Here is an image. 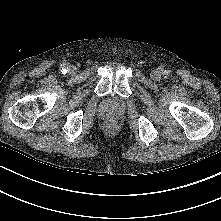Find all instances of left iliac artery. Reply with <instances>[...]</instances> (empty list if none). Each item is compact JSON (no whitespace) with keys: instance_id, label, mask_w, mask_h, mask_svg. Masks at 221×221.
<instances>
[{"instance_id":"left-iliac-artery-1","label":"left iliac artery","mask_w":221,"mask_h":221,"mask_svg":"<svg viewBox=\"0 0 221 221\" xmlns=\"http://www.w3.org/2000/svg\"><path fill=\"white\" fill-rule=\"evenodd\" d=\"M166 75H168V73L165 71V77H166Z\"/></svg>"}]
</instances>
